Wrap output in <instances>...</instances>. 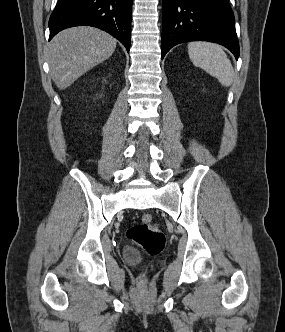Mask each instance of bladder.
<instances>
[{
  "label": "bladder",
  "mask_w": 285,
  "mask_h": 332,
  "mask_svg": "<svg viewBox=\"0 0 285 332\" xmlns=\"http://www.w3.org/2000/svg\"><path fill=\"white\" fill-rule=\"evenodd\" d=\"M139 256V252L131 246H126L122 249L123 259L129 263H135L138 261Z\"/></svg>",
  "instance_id": "1"
}]
</instances>
